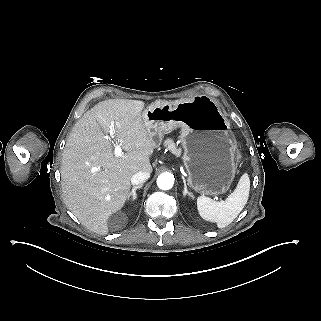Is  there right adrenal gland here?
Wrapping results in <instances>:
<instances>
[{"label": "right adrenal gland", "instance_id": "right-adrenal-gland-1", "mask_svg": "<svg viewBox=\"0 0 321 321\" xmlns=\"http://www.w3.org/2000/svg\"><path fill=\"white\" fill-rule=\"evenodd\" d=\"M143 187V185H140V186H135L133 189H132V192L129 194V197L127 198V203L129 204H132L135 199H136V190L138 189H141Z\"/></svg>", "mask_w": 321, "mask_h": 321}]
</instances>
